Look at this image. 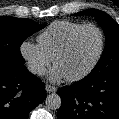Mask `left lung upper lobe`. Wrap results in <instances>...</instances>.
Instances as JSON below:
<instances>
[{
  "label": "left lung upper lobe",
  "instance_id": "1",
  "mask_svg": "<svg viewBox=\"0 0 119 119\" xmlns=\"http://www.w3.org/2000/svg\"><path fill=\"white\" fill-rule=\"evenodd\" d=\"M74 15L94 16L104 30L106 37V45L103 54L90 74L105 75L119 69V25L117 22H115L107 13L96 9L84 10Z\"/></svg>",
  "mask_w": 119,
  "mask_h": 119
}]
</instances>
